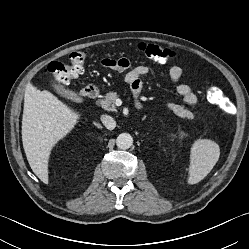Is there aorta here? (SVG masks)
Instances as JSON below:
<instances>
[{"mask_svg":"<svg viewBox=\"0 0 249 249\" xmlns=\"http://www.w3.org/2000/svg\"><path fill=\"white\" fill-rule=\"evenodd\" d=\"M133 144V138L129 133H121L116 139V145L119 149H128Z\"/></svg>","mask_w":249,"mask_h":249,"instance_id":"1","label":"aorta"}]
</instances>
